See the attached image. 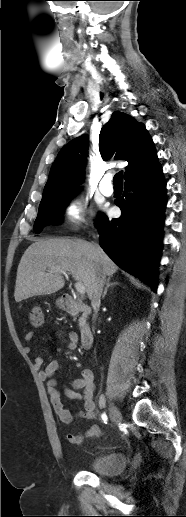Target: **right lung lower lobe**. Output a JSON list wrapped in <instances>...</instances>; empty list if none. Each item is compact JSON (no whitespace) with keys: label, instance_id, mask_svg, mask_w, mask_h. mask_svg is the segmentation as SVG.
Segmentation results:
<instances>
[{"label":"right lung lower lobe","instance_id":"right-lung-lower-lobe-1","mask_svg":"<svg viewBox=\"0 0 186 517\" xmlns=\"http://www.w3.org/2000/svg\"><path fill=\"white\" fill-rule=\"evenodd\" d=\"M120 218L100 213L96 226L100 246L125 271L145 281L154 292L166 205V183L158 162L125 180L123 196L116 200Z\"/></svg>","mask_w":186,"mask_h":517}]
</instances>
